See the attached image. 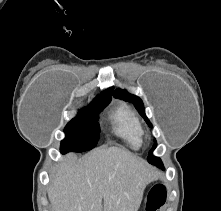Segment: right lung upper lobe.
<instances>
[{"mask_svg": "<svg viewBox=\"0 0 221 211\" xmlns=\"http://www.w3.org/2000/svg\"><path fill=\"white\" fill-rule=\"evenodd\" d=\"M112 91H113V87H111V88L105 90L104 92H102V94L98 95L97 98H99V97H110L111 94H112Z\"/></svg>", "mask_w": 221, "mask_h": 211, "instance_id": "obj_1", "label": "right lung upper lobe"}]
</instances>
